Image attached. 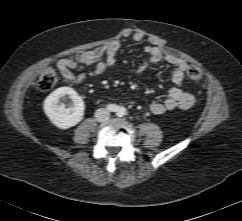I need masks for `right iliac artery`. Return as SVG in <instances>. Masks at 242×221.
Returning <instances> with one entry per match:
<instances>
[{
  "instance_id": "right-iliac-artery-1",
  "label": "right iliac artery",
  "mask_w": 242,
  "mask_h": 221,
  "mask_svg": "<svg viewBox=\"0 0 242 221\" xmlns=\"http://www.w3.org/2000/svg\"><path fill=\"white\" fill-rule=\"evenodd\" d=\"M107 110L110 112H118L119 111V107L115 104H109L106 106Z\"/></svg>"
}]
</instances>
